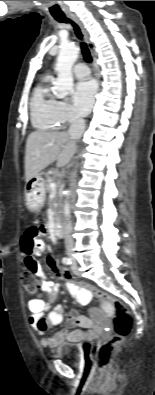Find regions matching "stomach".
I'll return each mask as SVG.
<instances>
[{
	"label": "stomach",
	"instance_id": "0dacf381",
	"mask_svg": "<svg viewBox=\"0 0 155 395\" xmlns=\"http://www.w3.org/2000/svg\"><path fill=\"white\" fill-rule=\"evenodd\" d=\"M45 190V181L39 174L26 184L25 200L26 206L30 211H37L43 206Z\"/></svg>",
	"mask_w": 155,
	"mask_h": 395
}]
</instances>
